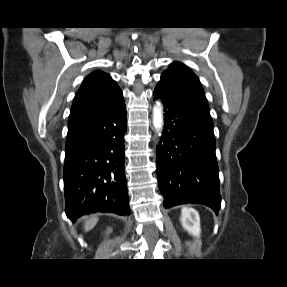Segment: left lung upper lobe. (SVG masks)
Wrapping results in <instances>:
<instances>
[{
	"instance_id": "left-lung-upper-lobe-1",
	"label": "left lung upper lobe",
	"mask_w": 287,
	"mask_h": 287,
	"mask_svg": "<svg viewBox=\"0 0 287 287\" xmlns=\"http://www.w3.org/2000/svg\"><path fill=\"white\" fill-rule=\"evenodd\" d=\"M177 104L213 126L207 99L198 77L184 64L173 62L157 84Z\"/></svg>"
}]
</instances>
